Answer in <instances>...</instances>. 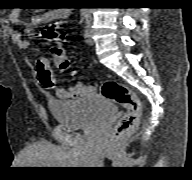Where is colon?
<instances>
[{
	"mask_svg": "<svg viewBox=\"0 0 192 180\" xmlns=\"http://www.w3.org/2000/svg\"><path fill=\"white\" fill-rule=\"evenodd\" d=\"M41 35L44 39L57 44L52 49L54 61L61 71H67L70 63L66 52L60 46L65 41V34L55 24L46 23L42 27ZM100 93L125 108V113L116 124L111 136V141L117 142L137 126L142 114L141 101L133 90L115 80L104 81L100 86Z\"/></svg>",
	"mask_w": 192,
	"mask_h": 180,
	"instance_id": "obj_1",
	"label": "colon"
}]
</instances>
